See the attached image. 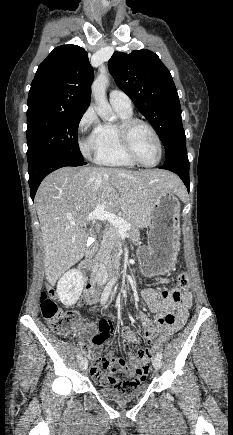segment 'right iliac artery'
I'll return each instance as SVG.
<instances>
[{"instance_id": "right-iliac-artery-1", "label": "right iliac artery", "mask_w": 233, "mask_h": 435, "mask_svg": "<svg viewBox=\"0 0 233 435\" xmlns=\"http://www.w3.org/2000/svg\"><path fill=\"white\" fill-rule=\"evenodd\" d=\"M114 283H115V281L112 280V281H110V282L108 283V285L105 287L104 292L102 293L101 304H104V303L107 301L108 296H109V293H110L111 288H112V286H113ZM77 358H78V359H81V358H82V354L79 353V354L77 355Z\"/></svg>"}]
</instances>
